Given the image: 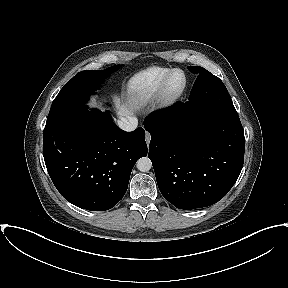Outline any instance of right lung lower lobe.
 <instances>
[{"label": "right lung lower lobe", "instance_id": "obj_1", "mask_svg": "<svg viewBox=\"0 0 288 288\" xmlns=\"http://www.w3.org/2000/svg\"><path fill=\"white\" fill-rule=\"evenodd\" d=\"M147 155L144 130L119 129L108 112L85 105L47 120L43 156L60 194L90 211L114 207L124 196L136 161Z\"/></svg>", "mask_w": 288, "mask_h": 288}]
</instances>
